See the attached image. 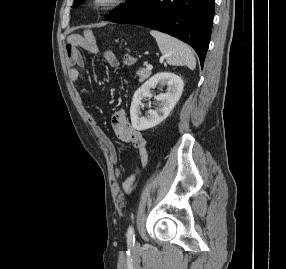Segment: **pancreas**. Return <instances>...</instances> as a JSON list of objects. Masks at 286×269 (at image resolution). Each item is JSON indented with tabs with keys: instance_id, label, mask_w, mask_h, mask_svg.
I'll return each instance as SVG.
<instances>
[{
	"instance_id": "1",
	"label": "pancreas",
	"mask_w": 286,
	"mask_h": 269,
	"mask_svg": "<svg viewBox=\"0 0 286 269\" xmlns=\"http://www.w3.org/2000/svg\"><path fill=\"white\" fill-rule=\"evenodd\" d=\"M137 75L139 77V80L143 81L151 75V70L142 68L137 72Z\"/></svg>"
}]
</instances>
